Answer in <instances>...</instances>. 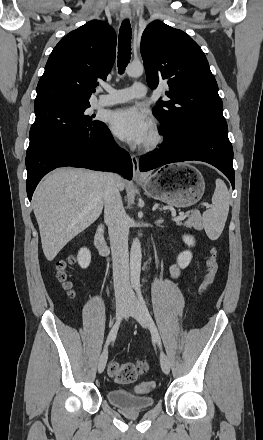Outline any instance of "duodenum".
<instances>
[{"label": "duodenum", "instance_id": "duodenum-1", "mask_svg": "<svg viewBox=\"0 0 263 440\" xmlns=\"http://www.w3.org/2000/svg\"><path fill=\"white\" fill-rule=\"evenodd\" d=\"M104 232H105V227L104 225H99L97 230H96V234H95V238H94V243L95 246L98 250V252L100 253L101 256L103 257H109L110 255V248L106 242L105 236H104Z\"/></svg>", "mask_w": 263, "mask_h": 440}]
</instances>
